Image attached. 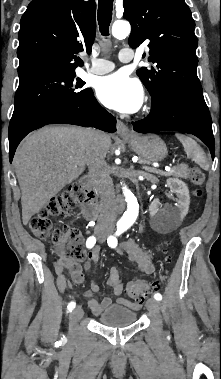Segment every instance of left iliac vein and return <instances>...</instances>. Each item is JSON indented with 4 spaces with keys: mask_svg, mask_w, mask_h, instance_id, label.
<instances>
[{
    "mask_svg": "<svg viewBox=\"0 0 221 379\" xmlns=\"http://www.w3.org/2000/svg\"><path fill=\"white\" fill-rule=\"evenodd\" d=\"M146 307L150 312L154 314H159L160 305H159V302L155 298L148 299L146 302Z\"/></svg>",
    "mask_w": 221,
    "mask_h": 379,
    "instance_id": "1",
    "label": "left iliac vein"
}]
</instances>
